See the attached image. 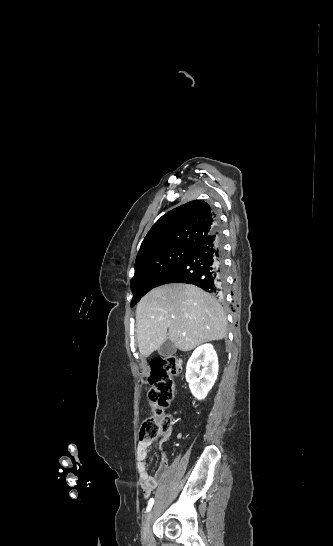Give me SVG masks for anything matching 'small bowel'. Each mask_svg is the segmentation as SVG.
<instances>
[{
	"mask_svg": "<svg viewBox=\"0 0 333 546\" xmlns=\"http://www.w3.org/2000/svg\"><path fill=\"white\" fill-rule=\"evenodd\" d=\"M150 452V443L140 441L137 446L138 471L140 486L144 491V497L148 498L153 490L156 489L159 482L165 477L169 468V460L167 454H162L161 462L154 475L148 471L147 458Z\"/></svg>",
	"mask_w": 333,
	"mask_h": 546,
	"instance_id": "obj_1",
	"label": "small bowel"
}]
</instances>
